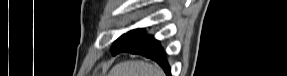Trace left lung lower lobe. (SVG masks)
<instances>
[{
	"label": "left lung lower lobe",
	"mask_w": 287,
	"mask_h": 76,
	"mask_svg": "<svg viewBox=\"0 0 287 76\" xmlns=\"http://www.w3.org/2000/svg\"><path fill=\"white\" fill-rule=\"evenodd\" d=\"M120 52L141 54L145 57L151 58L163 68L167 75H171L170 67L165 60L163 49L160 47L159 42L155 40L152 36L147 35L140 41L122 47L117 52L113 53V55H116Z\"/></svg>",
	"instance_id": "left-lung-lower-lobe-1"
}]
</instances>
